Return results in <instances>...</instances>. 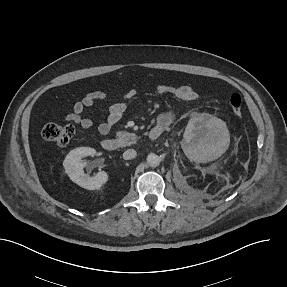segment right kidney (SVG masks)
Wrapping results in <instances>:
<instances>
[{
	"label": "right kidney",
	"instance_id": "right-kidney-1",
	"mask_svg": "<svg viewBox=\"0 0 287 287\" xmlns=\"http://www.w3.org/2000/svg\"><path fill=\"white\" fill-rule=\"evenodd\" d=\"M95 153L96 151L90 147L76 148L67 154L63 162L65 173L69 178L80 187L88 190L99 189L108 180V174L104 171H100L91 177L83 170L82 158L93 156Z\"/></svg>",
	"mask_w": 287,
	"mask_h": 287
}]
</instances>
